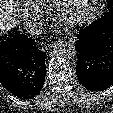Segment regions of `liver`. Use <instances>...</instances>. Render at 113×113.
<instances>
[{
  "instance_id": "1",
  "label": "liver",
  "mask_w": 113,
  "mask_h": 113,
  "mask_svg": "<svg viewBox=\"0 0 113 113\" xmlns=\"http://www.w3.org/2000/svg\"><path fill=\"white\" fill-rule=\"evenodd\" d=\"M15 7L13 0H0V35L16 26V21L12 17L16 12Z\"/></svg>"
}]
</instances>
